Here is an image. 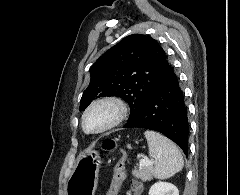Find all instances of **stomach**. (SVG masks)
Segmentation results:
<instances>
[{"label": "stomach", "mask_w": 240, "mask_h": 195, "mask_svg": "<svg viewBox=\"0 0 240 195\" xmlns=\"http://www.w3.org/2000/svg\"><path fill=\"white\" fill-rule=\"evenodd\" d=\"M101 163L97 149L81 151L68 179V195H95Z\"/></svg>", "instance_id": "1"}]
</instances>
